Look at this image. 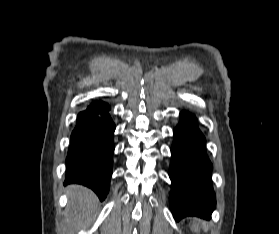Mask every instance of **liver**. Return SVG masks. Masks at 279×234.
Returning a JSON list of instances; mask_svg holds the SVG:
<instances>
[{
    "label": "liver",
    "mask_w": 279,
    "mask_h": 234,
    "mask_svg": "<svg viewBox=\"0 0 279 234\" xmlns=\"http://www.w3.org/2000/svg\"><path fill=\"white\" fill-rule=\"evenodd\" d=\"M69 203L66 210V224L75 234L92 220L97 212L98 199L89 189L73 185L68 189Z\"/></svg>",
    "instance_id": "liver-1"
}]
</instances>
